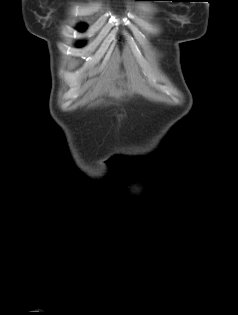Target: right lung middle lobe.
Wrapping results in <instances>:
<instances>
[{
    "label": "right lung middle lobe",
    "instance_id": "right-lung-middle-lobe-1",
    "mask_svg": "<svg viewBox=\"0 0 238 315\" xmlns=\"http://www.w3.org/2000/svg\"><path fill=\"white\" fill-rule=\"evenodd\" d=\"M85 28H86L85 24H82V25H80V26L78 27V30H79V31H84ZM82 44H83V43H81V45H82Z\"/></svg>",
    "mask_w": 238,
    "mask_h": 315
}]
</instances>
